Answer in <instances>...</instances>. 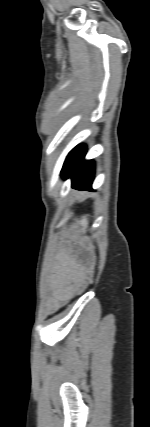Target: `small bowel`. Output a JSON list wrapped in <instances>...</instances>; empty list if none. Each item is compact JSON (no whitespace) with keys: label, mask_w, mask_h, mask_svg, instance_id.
Instances as JSON below:
<instances>
[{"label":"small bowel","mask_w":150,"mask_h":427,"mask_svg":"<svg viewBox=\"0 0 150 427\" xmlns=\"http://www.w3.org/2000/svg\"><path fill=\"white\" fill-rule=\"evenodd\" d=\"M76 288L77 281L74 278L70 276L59 277L53 286L51 308L56 309L61 302L69 299L76 291Z\"/></svg>","instance_id":"c3829d8e"}]
</instances>
